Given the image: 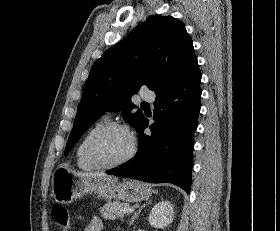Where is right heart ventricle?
<instances>
[{"mask_svg": "<svg viewBox=\"0 0 280 231\" xmlns=\"http://www.w3.org/2000/svg\"><path fill=\"white\" fill-rule=\"evenodd\" d=\"M108 118L100 117L89 127L82 138L77 143L74 150V158L76 166L82 171H92L97 168L91 165L85 157V149L91 136L97 132L101 127L108 123Z\"/></svg>", "mask_w": 280, "mask_h": 231, "instance_id": "right-heart-ventricle-1", "label": "right heart ventricle"}]
</instances>
